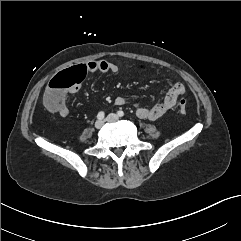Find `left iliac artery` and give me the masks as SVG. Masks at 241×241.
<instances>
[{"label": "left iliac artery", "mask_w": 241, "mask_h": 241, "mask_svg": "<svg viewBox=\"0 0 241 241\" xmlns=\"http://www.w3.org/2000/svg\"><path fill=\"white\" fill-rule=\"evenodd\" d=\"M117 114H118L119 117H123L124 116V112L122 110H119L117 112Z\"/></svg>", "instance_id": "left-iliac-artery-1"}]
</instances>
